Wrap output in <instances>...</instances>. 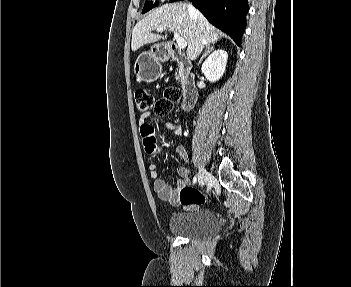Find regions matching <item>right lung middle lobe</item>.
<instances>
[{
  "label": "right lung middle lobe",
  "instance_id": "obj_1",
  "mask_svg": "<svg viewBox=\"0 0 351 287\" xmlns=\"http://www.w3.org/2000/svg\"><path fill=\"white\" fill-rule=\"evenodd\" d=\"M158 2L153 3L152 1H147L144 5L142 13H146L147 11L151 10L152 8L156 7Z\"/></svg>",
  "mask_w": 351,
  "mask_h": 287
}]
</instances>
